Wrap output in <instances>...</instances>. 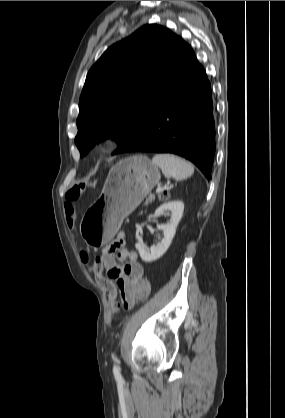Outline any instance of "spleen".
<instances>
[{"label": "spleen", "instance_id": "1", "mask_svg": "<svg viewBox=\"0 0 285 418\" xmlns=\"http://www.w3.org/2000/svg\"><path fill=\"white\" fill-rule=\"evenodd\" d=\"M152 163L162 170L165 177L177 181L187 179L194 173L191 163L172 154H156L152 158Z\"/></svg>", "mask_w": 285, "mask_h": 418}]
</instances>
